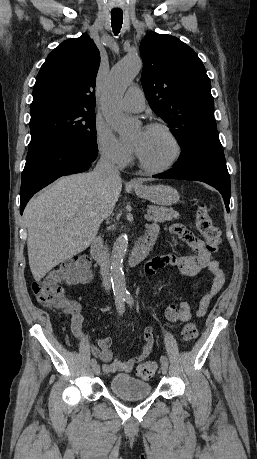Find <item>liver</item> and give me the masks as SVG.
<instances>
[{
	"mask_svg": "<svg viewBox=\"0 0 257 459\" xmlns=\"http://www.w3.org/2000/svg\"><path fill=\"white\" fill-rule=\"evenodd\" d=\"M121 190V179L102 186L93 172L74 174L60 178L27 204L23 216L35 281L90 246Z\"/></svg>",
	"mask_w": 257,
	"mask_h": 459,
	"instance_id": "1",
	"label": "liver"
}]
</instances>
